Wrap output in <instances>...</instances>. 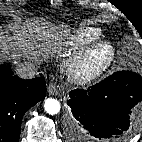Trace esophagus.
Instances as JSON below:
<instances>
[{
    "instance_id": "esophagus-1",
    "label": "esophagus",
    "mask_w": 142,
    "mask_h": 142,
    "mask_svg": "<svg viewBox=\"0 0 142 142\" xmlns=\"http://www.w3.org/2000/svg\"><path fill=\"white\" fill-rule=\"evenodd\" d=\"M59 91L58 86L55 83H51L49 84L48 88H47V92L49 95H56Z\"/></svg>"
}]
</instances>
